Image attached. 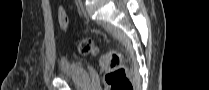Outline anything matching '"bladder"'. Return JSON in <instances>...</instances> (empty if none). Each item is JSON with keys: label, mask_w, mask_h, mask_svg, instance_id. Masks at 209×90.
<instances>
[{"label": "bladder", "mask_w": 209, "mask_h": 90, "mask_svg": "<svg viewBox=\"0 0 209 90\" xmlns=\"http://www.w3.org/2000/svg\"><path fill=\"white\" fill-rule=\"evenodd\" d=\"M58 76L74 85L91 86V77L88 68L80 62L61 58L58 66Z\"/></svg>", "instance_id": "obj_1"}]
</instances>
